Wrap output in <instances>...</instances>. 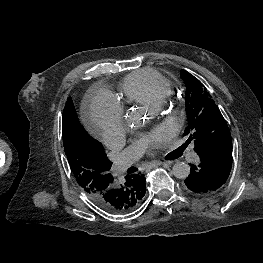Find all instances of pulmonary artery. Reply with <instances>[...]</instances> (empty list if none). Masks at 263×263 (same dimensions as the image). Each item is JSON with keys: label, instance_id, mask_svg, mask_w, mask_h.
Returning a JSON list of instances; mask_svg holds the SVG:
<instances>
[{"label": "pulmonary artery", "instance_id": "obj_1", "mask_svg": "<svg viewBox=\"0 0 263 263\" xmlns=\"http://www.w3.org/2000/svg\"><path fill=\"white\" fill-rule=\"evenodd\" d=\"M143 150L144 147L142 145H133L124 150L114 163V173L116 175L123 173L142 155ZM187 159L190 162H196L198 160V155L193 149H191L187 155Z\"/></svg>", "mask_w": 263, "mask_h": 263}]
</instances>
